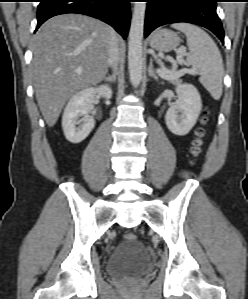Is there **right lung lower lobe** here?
Segmentation results:
<instances>
[{"label": "right lung lower lobe", "mask_w": 248, "mask_h": 299, "mask_svg": "<svg viewBox=\"0 0 248 299\" xmlns=\"http://www.w3.org/2000/svg\"><path fill=\"white\" fill-rule=\"evenodd\" d=\"M130 0H40L36 30L47 19L65 13H79L100 19L125 39L130 26Z\"/></svg>", "instance_id": "1"}]
</instances>
